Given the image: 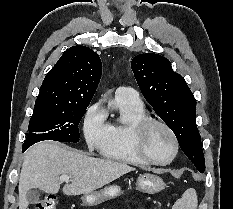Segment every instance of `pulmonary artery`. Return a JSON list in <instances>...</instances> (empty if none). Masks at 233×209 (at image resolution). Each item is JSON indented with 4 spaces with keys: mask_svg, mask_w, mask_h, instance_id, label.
Listing matches in <instances>:
<instances>
[{
    "mask_svg": "<svg viewBox=\"0 0 233 209\" xmlns=\"http://www.w3.org/2000/svg\"><path fill=\"white\" fill-rule=\"evenodd\" d=\"M116 95L129 99L133 102H141L138 93L130 87H120L116 91Z\"/></svg>",
    "mask_w": 233,
    "mask_h": 209,
    "instance_id": "e3ab8cb5",
    "label": "pulmonary artery"
}]
</instances>
